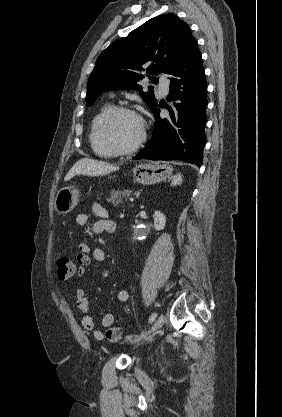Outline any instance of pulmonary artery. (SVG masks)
Instances as JSON below:
<instances>
[{"label": "pulmonary artery", "instance_id": "pulmonary-artery-1", "mask_svg": "<svg viewBox=\"0 0 282 417\" xmlns=\"http://www.w3.org/2000/svg\"><path fill=\"white\" fill-rule=\"evenodd\" d=\"M161 88H162V91L166 93L168 91V81H162Z\"/></svg>", "mask_w": 282, "mask_h": 417}]
</instances>
